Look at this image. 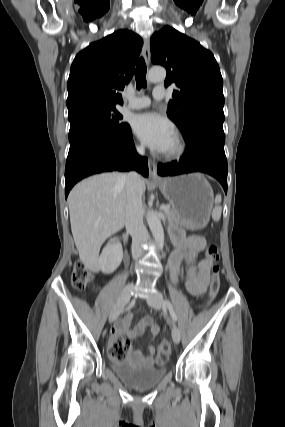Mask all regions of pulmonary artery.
<instances>
[{
  "instance_id": "1",
  "label": "pulmonary artery",
  "mask_w": 285,
  "mask_h": 427,
  "mask_svg": "<svg viewBox=\"0 0 285 427\" xmlns=\"http://www.w3.org/2000/svg\"><path fill=\"white\" fill-rule=\"evenodd\" d=\"M153 97L155 100H161L166 97V90L164 86H156L153 91ZM151 100L147 96H140L136 98H132L129 100L128 105L126 106L127 109H142L146 108L150 105Z\"/></svg>"
}]
</instances>
